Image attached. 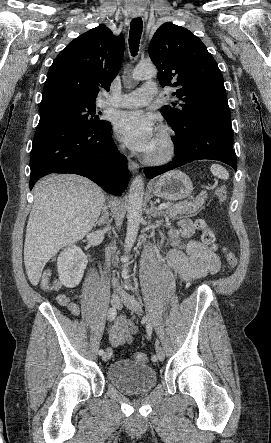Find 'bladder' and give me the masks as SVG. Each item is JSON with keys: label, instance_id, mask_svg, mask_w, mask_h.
<instances>
[{"label": "bladder", "instance_id": "bladder-1", "mask_svg": "<svg viewBox=\"0 0 271 443\" xmlns=\"http://www.w3.org/2000/svg\"><path fill=\"white\" fill-rule=\"evenodd\" d=\"M107 376L114 386L129 394L148 392L157 383V374L152 367L129 359H119L111 363Z\"/></svg>", "mask_w": 271, "mask_h": 443}]
</instances>
